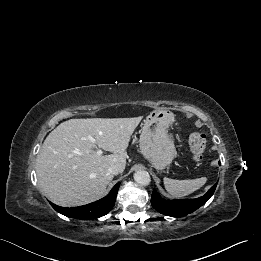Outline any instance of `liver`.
Instances as JSON below:
<instances>
[{
  "label": "liver",
  "instance_id": "1",
  "mask_svg": "<svg viewBox=\"0 0 261 261\" xmlns=\"http://www.w3.org/2000/svg\"><path fill=\"white\" fill-rule=\"evenodd\" d=\"M142 117L70 119L46 137L36 162L40 192L64 207L80 206L101 198L113 179L111 165L124 171L129 141ZM99 148L110 155H98ZM122 171V172H123Z\"/></svg>",
  "mask_w": 261,
  "mask_h": 261
}]
</instances>
